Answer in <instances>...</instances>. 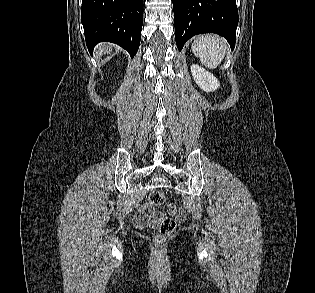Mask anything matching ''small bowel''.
I'll use <instances>...</instances> for the list:
<instances>
[{"label": "small bowel", "instance_id": "1", "mask_svg": "<svg viewBox=\"0 0 315 293\" xmlns=\"http://www.w3.org/2000/svg\"><path fill=\"white\" fill-rule=\"evenodd\" d=\"M152 204L144 203L138 210L134 223L138 227L150 226L156 228L157 222L163 218V214L159 211L151 210Z\"/></svg>", "mask_w": 315, "mask_h": 293}]
</instances>
